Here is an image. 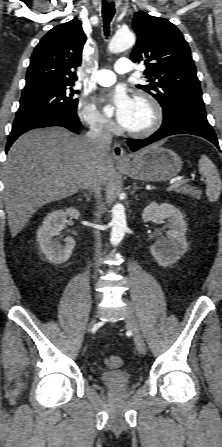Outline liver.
<instances>
[{
	"label": "liver",
	"mask_w": 222,
	"mask_h": 447,
	"mask_svg": "<svg viewBox=\"0 0 222 447\" xmlns=\"http://www.w3.org/2000/svg\"><path fill=\"white\" fill-rule=\"evenodd\" d=\"M97 167L101 184L110 175L107 155L96 163L86 137L62 127L29 131L8 151L3 169L5 208L12 237L42 206L76 194Z\"/></svg>",
	"instance_id": "1"
}]
</instances>
